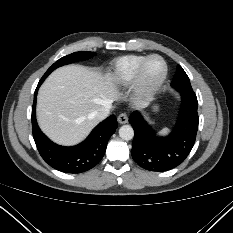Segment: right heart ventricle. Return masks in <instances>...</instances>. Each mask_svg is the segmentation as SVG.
Here are the masks:
<instances>
[{
    "label": "right heart ventricle",
    "mask_w": 233,
    "mask_h": 233,
    "mask_svg": "<svg viewBox=\"0 0 233 233\" xmlns=\"http://www.w3.org/2000/svg\"><path fill=\"white\" fill-rule=\"evenodd\" d=\"M145 58L146 56L143 55H126L118 58L111 67V81L119 87L131 85L135 80L139 66Z\"/></svg>",
    "instance_id": "e07e8e85"
}]
</instances>
